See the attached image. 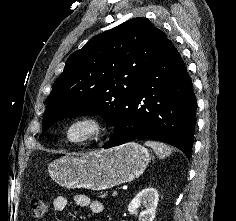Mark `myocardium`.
<instances>
[{
	"label": "myocardium",
	"instance_id": "f54148a6",
	"mask_svg": "<svg viewBox=\"0 0 236 221\" xmlns=\"http://www.w3.org/2000/svg\"><path fill=\"white\" fill-rule=\"evenodd\" d=\"M76 127H86L87 132L79 138H73L71 132ZM108 125L104 119L95 114H84L71 119L63 129L65 141L73 146H81L104 136Z\"/></svg>",
	"mask_w": 236,
	"mask_h": 221
}]
</instances>
